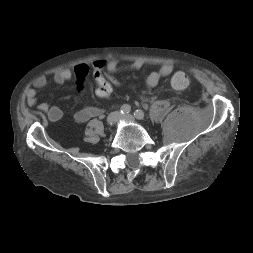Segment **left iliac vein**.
<instances>
[{"label":"left iliac vein","mask_w":253,"mask_h":253,"mask_svg":"<svg viewBox=\"0 0 253 253\" xmlns=\"http://www.w3.org/2000/svg\"><path fill=\"white\" fill-rule=\"evenodd\" d=\"M122 118H123L124 120H127V121H134V116L131 115V114L124 115V116H122Z\"/></svg>","instance_id":"left-iliac-vein-1"}]
</instances>
